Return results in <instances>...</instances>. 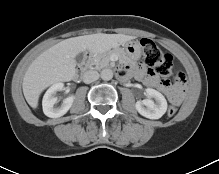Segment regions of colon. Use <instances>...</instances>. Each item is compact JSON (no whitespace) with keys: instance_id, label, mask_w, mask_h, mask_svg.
Segmentation results:
<instances>
[{"instance_id":"5ec220e1","label":"colon","mask_w":219,"mask_h":174,"mask_svg":"<svg viewBox=\"0 0 219 174\" xmlns=\"http://www.w3.org/2000/svg\"><path fill=\"white\" fill-rule=\"evenodd\" d=\"M141 45L144 53L145 64L159 76L168 78L174 77L178 82L185 83V77L173 64L171 55L164 53L150 39H142ZM177 112L174 106H170L167 115L173 117Z\"/></svg>"}]
</instances>
